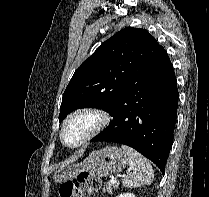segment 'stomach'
Returning a JSON list of instances; mask_svg holds the SVG:
<instances>
[{
    "label": "stomach",
    "instance_id": "0dacf381",
    "mask_svg": "<svg viewBox=\"0 0 209 197\" xmlns=\"http://www.w3.org/2000/svg\"><path fill=\"white\" fill-rule=\"evenodd\" d=\"M127 162L125 153L118 147L106 146L93 151L81 163H76L58 170L53 179L56 183L68 181L84 171L94 176H108L121 172Z\"/></svg>",
    "mask_w": 209,
    "mask_h": 197
}]
</instances>
